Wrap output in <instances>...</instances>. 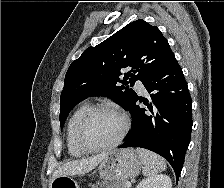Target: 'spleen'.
I'll return each instance as SVG.
<instances>
[{"label":"spleen","mask_w":224,"mask_h":188,"mask_svg":"<svg viewBox=\"0 0 224 188\" xmlns=\"http://www.w3.org/2000/svg\"><path fill=\"white\" fill-rule=\"evenodd\" d=\"M136 151L144 164V176H151L166 169V162L161 156L142 148H137Z\"/></svg>","instance_id":"obj_1"}]
</instances>
